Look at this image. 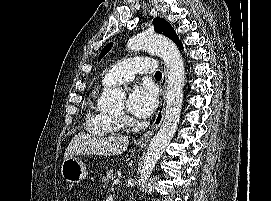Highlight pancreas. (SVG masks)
I'll use <instances>...</instances> for the list:
<instances>
[{
    "mask_svg": "<svg viewBox=\"0 0 271 201\" xmlns=\"http://www.w3.org/2000/svg\"><path fill=\"white\" fill-rule=\"evenodd\" d=\"M116 176V173L113 170H109L106 175L103 177L102 182L103 183H109L110 180L114 179Z\"/></svg>",
    "mask_w": 271,
    "mask_h": 201,
    "instance_id": "cf45deb5",
    "label": "pancreas"
}]
</instances>
